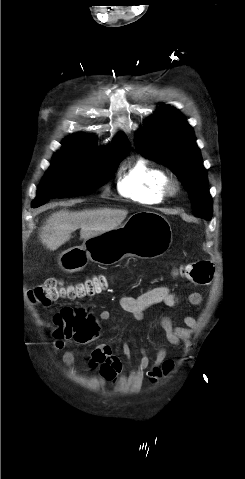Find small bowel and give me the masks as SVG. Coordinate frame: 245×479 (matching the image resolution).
I'll list each match as a JSON object with an SVG mask.
<instances>
[{
  "instance_id": "c3829d8e",
  "label": "small bowel",
  "mask_w": 245,
  "mask_h": 479,
  "mask_svg": "<svg viewBox=\"0 0 245 479\" xmlns=\"http://www.w3.org/2000/svg\"><path fill=\"white\" fill-rule=\"evenodd\" d=\"M183 302L193 306L202 303V295L199 292H192L186 297L182 298L174 293L169 286H160L142 293L139 296L122 295L119 303L121 309L135 320H142L144 312L150 306L155 304H165L167 306H178ZM98 318L102 322H109L111 314L108 310H101ZM161 327L165 332L166 340L173 346L180 344L181 340L187 336L188 329L195 328L197 321L195 317L188 314L184 317L185 327L174 326L172 320L165 316L161 319ZM100 325L98 321L91 316L87 325L83 330V335L90 337L98 334ZM66 345L64 339L56 338L53 344L55 352L62 350ZM123 355L129 359L131 355L130 347L127 343L122 346ZM142 357L140 359L138 369L140 371L147 370V375L150 377L153 374L161 372L164 363L166 362L167 350L165 347H160L156 352L155 360L150 365V359L146 354L145 349H141ZM75 361V352L67 351L63 354V362L67 367H71ZM89 367L91 369H98L99 376L107 381L114 383L122 370V363L120 358L113 353L110 343H102L93 349L89 355Z\"/></svg>"
}]
</instances>
